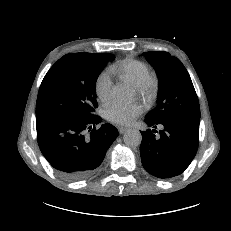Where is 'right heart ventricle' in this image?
Listing matches in <instances>:
<instances>
[{"label": "right heart ventricle", "mask_w": 231, "mask_h": 231, "mask_svg": "<svg viewBox=\"0 0 231 231\" xmlns=\"http://www.w3.org/2000/svg\"><path fill=\"white\" fill-rule=\"evenodd\" d=\"M110 71L121 80L135 86L149 71V66L142 60L126 58L113 64Z\"/></svg>", "instance_id": "1"}]
</instances>
